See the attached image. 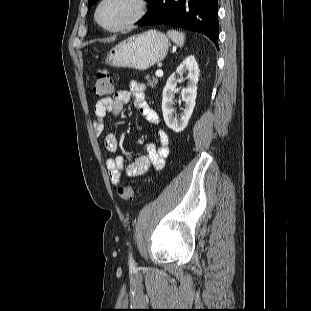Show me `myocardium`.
<instances>
[{"label":"myocardium","mask_w":311,"mask_h":311,"mask_svg":"<svg viewBox=\"0 0 311 311\" xmlns=\"http://www.w3.org/2000/svg\"><path fill=\"white\" fill-rule=\"evenodd\" d=\"M107 1L108 0H100L98 5L96 6L95 14H94L96 22L106 31L120 32V31L127 30L131 28L133 25H135L136 23H138L145 14L146 4L144 0H128L133 5V13L131 14V16L127 20H125L123 23L117 26H114V27H109L105 25L100 20V17H99L100 9L103 6V4L106 3Z\"/></svg>","instance_id":"obj_1"}]
</instances>
